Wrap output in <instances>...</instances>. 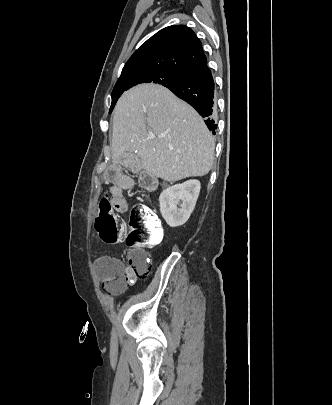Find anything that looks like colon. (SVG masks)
I'll list each match as a JSON object with an SVG mask.
<instances>
[{
	"instance_id": "colon-1",
	"label": "colon",
	"mask_w": 332,
	"mask_h": 405,
	"mask_svg": "<svg viewBox=\"0 0 332 405\" xmlns=\"http://www.w3.org/2000/svg\"><path fill=\"white\" fill-rule=\"evenodd\" d=\"M140 184L146 189H155L156 182L153 176L144 172L139 176ZM111 194L102 196L98 215L95 221V229L101 240L105 243L120 241L130 227L131 249L127 256V268L125 272L117 273L105 282V289L111 293H117L123 289L130 276L144 277L151 267L152 243H158L163 238V228L158 215L143 204L133 205L130 211L128 223H126L109 205ZM149 243V244H147ZM151 243V244H150ZM147 244L146 247H143Z\"/></svg>"
}]
</instances>
